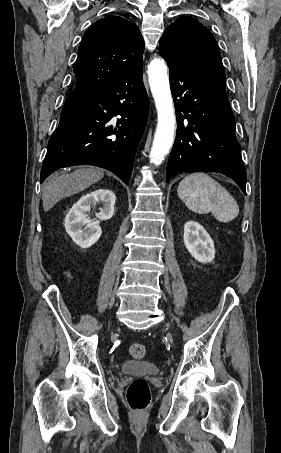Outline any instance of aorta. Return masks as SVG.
Here are the masks:
<instances>
[{
  "mask_svg": "<svg viewBox=\"0 0 281 453\" xmlns=\"http://www.w3.org/2000/svg\"><path fill=\"white\" fill-rule=\"evenodd\" d=\"M147 74L158 116L150 163L158 166L173 145L176 117L166 62L162 58H154L148 65Z\"/></svg>",
  "mask_w": 281,
  "mask_h": 453,
  "instance_id": "obj_1",
  "label": "aorta"
}]
</instances>
